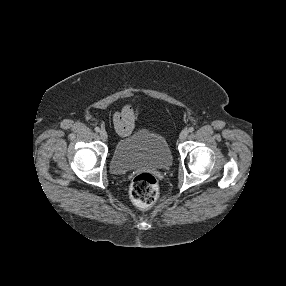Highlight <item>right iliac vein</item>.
<instances>
[{"mask_svg":"<svg viewBox=\"0 0 286 286\" xmlns=\"http://www.w3.org/2000/svg\"><path fill=\"white\" fill-rule=\"evenodd\" d=\"M99 134H100V137L103 141H107L108 135H107V132L105 130H101Z\"/></svg>","mask_w":286,"mask_h":286,"instance_id":"obj_1","label":"right iliac vein"}]
</instances>
